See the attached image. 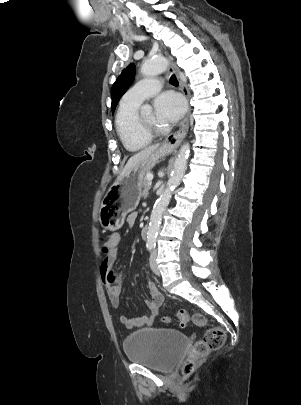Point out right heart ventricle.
Here are the masks:
<instances>
[{"mask_svg": "<svg viewBox=\"0 0 301 405\" xmlns=\"http://www.w3.org/2000/svg\"><path fill=\"white\" fill-rule=\"evenodd\" d=\"M138 105L122 102L115 116L117 134L126 150L137 152L150 144L152 138L139 133L136 129Z\"/></svg>", "mask_w": 301, "mask_h": 405, "instance_id": "1", "label": "right heart ventricle"}]
</instances>
